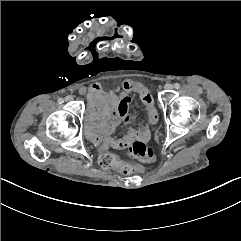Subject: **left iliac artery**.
<instances>
[{
	"instance_id": "1",
	"label": "left iliac artery",
	"mask_w": 241,
	"mask_h": 241,
	"mask_svg": "<svg viewBox=\"0 0 241 241\" xmlns=\"http://www.w3.org/2000/svg\"><path fill=\"white\" fill-rule=\"evenodd\" d=\"M174 88H175V89H179V88H180V84H179V83H175V84H174Z\"/></svg>"
}]
</instances>
